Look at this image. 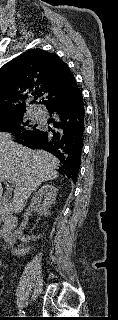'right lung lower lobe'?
Masks as SVG:
<instances>
[{
	"instance_id": "1",
	"label": "right lung lower lobe",
	"mask_w": 118,
	"mask_h": 320,
	"mask_svg": "<svg viewBox=\"0 0 118 320\" xmlns=\"http://www.w3.org/2000/svg\"><path fill=\"white\" fill-rule=\"evenodd\" d=\"M52 128H41L35 134L19 138L16 142L30 148H41L61 161L60 174L74 182L81 164L85 135V110L82 92L52 102L48 107Z\"/></svg>"
}]
</instances>
